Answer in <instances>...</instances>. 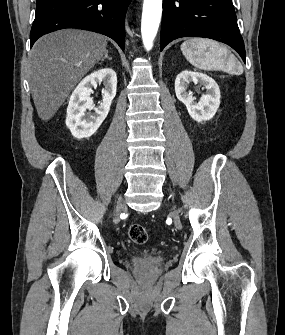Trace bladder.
Returning a JSON list of instances; mask_svg holds the SVG:
<instances>
[{
    "mask_svg": "<svg viewBox=\"0 0 285 335\" xmlns=\"http://www.w3.org/2000/svg\"><path fill=\"white\" fill-rule=\"evenodd\" d=\"M156 253L155 252H153L150 256H145V257H151V256H153V255H155Z\"/></svg>",
    "mask_w": 285,
    "mask_h": 335,
    "instance_id": "31cf9c89",
    "label": "bladder"
}]
</instances>
